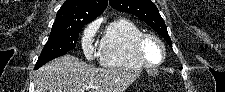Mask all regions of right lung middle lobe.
<instances>
[{
  "label": "right lung middle lobe",
  "mask_w": 225,
  "mask_h": 92,
  "mask_svg": "<svg viewBox=\"0 0 225 92\" xmlns=\"http://www.w3.org/2000/svg\"><path fill=\"white\" fill-rule=\"evenodd\" d=\"M87 24L75 22L67 27H52L47 43L45 44L34 69L40 68L47 62L65 55L69 50L76 47L79 33Z\"/></svg>",
  "instance_id": "obj_1"
}]
</instances>
